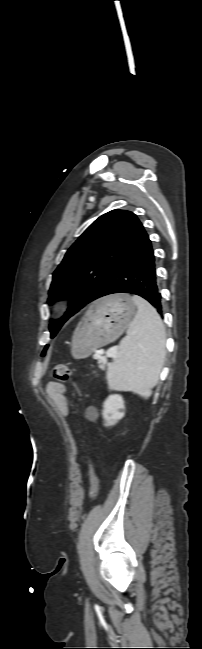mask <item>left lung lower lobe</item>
<instances>
[{
	"mask_svg": "<svg viewBox=\"0 0 202 649\" xmlns=\"http://www.w3.org/2000/svg\"><path fill=\"white\" fill-rule=\"evenodd\" d=\"M155 266L151 241L142 226L105 278L103 287L95 299L114 293H132L145 298L162 315ZM47 348L48 345L45 346L42 354H45Z\"/></svg>",
	"mask_w": 202,
	"mask_h": 649,
	"instance_id": "0a47b994",
	"label": "left lung lower lobe"
}]
</instances>
